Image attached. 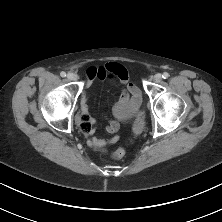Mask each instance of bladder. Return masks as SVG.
Here are the masks:
<instances>
[{"mask_svg":"<svg viewBox=\"0 0 222 222\" xmlns=\"http://www.w3.org/2000/svg\"><path fill=\"white\" fill-rule=\"evenodd\" d=\"M135 107H132L130 105H127L124 109H123V114L125 116H129L132 115L135 112Z\"/></svg>","mask_w":222,"mask_h":222,"instance_id":"obj_1","label":"bladder"}]
</instances>
